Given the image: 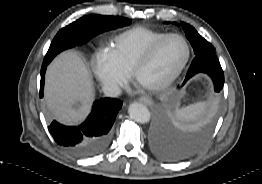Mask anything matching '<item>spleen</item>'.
Listing matches in <instances>:
<instances>
[{"label": "spleen", "instance_id": "spleen-1", "mask_svg": "<svg viewBox=\"0 0 262 184\" xmlns=\"http://www.w3.org/2000/svg\"><path fill=\"white\" fill-rule=\"evenodd\" d=\"M205 108H206L205 102H198L196 104H192L185 108L176 110L175 117L179 120L194 119L196 118V116L204 112Z\"/></svg>", "mask_w": 262, "mask_h": 184}]
</instances>
